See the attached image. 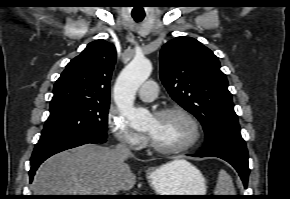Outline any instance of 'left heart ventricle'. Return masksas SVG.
<instances>
[{"label":"left heart ventricle","instance_id":"left-heart-ventricle-1","mask_svg":"<svg viewBox=\"0 0 290 199\" xmlns=\"http://www.w3.org/2000/svg\"><path fill=\"white\" fill-rule=\"evenodd\" d=\"M144 131L158 146L167 149L182 147L193 136L191 125L180 115L153 116Z\"/></svg>","mask_w":290,"mask_h":199}]
</instances>
